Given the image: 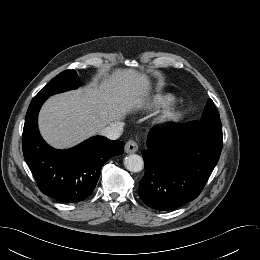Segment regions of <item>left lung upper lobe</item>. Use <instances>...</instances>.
<instances>
[{
    "mask_svg": "<svg viewBox=\"0 0 260 260\" xmlns=\"http://www.w3.org/2000/svg\"><path fill=\"white\" fill-rule=\"evenodd\" d=\"M191 127L222 133L220 116L211 99L208 100L200 121L190 123Z\"/></svg>",
    "mask_w": 260,
    "mask_h": 260,
    "instance_id": "left-lung-upper-lobe-1",
    "label": "left lung upper lobe"
}]
</instances>
